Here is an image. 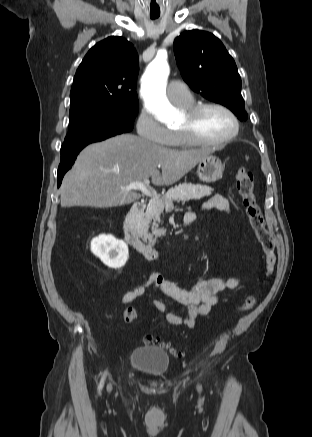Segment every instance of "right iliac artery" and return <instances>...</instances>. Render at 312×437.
Instances as JSON below:
<instances>
[{
    "label": "right iliac artery",
    "instance_id": "82829eb1",
    "mask_svg": "<svg viewBox=\"0 0 312 437\" xmlns=\"http://www.w3.org/2000/svg\"><path fill=\"white\" fill-rule=\"evenodd\" d=\"M103 380H104V378H102V380H101V383H100L99 389H101V387H102Z\"/></svg>",
    "mask_w": 312,
    "mask_h": 437
}]
</instances>
